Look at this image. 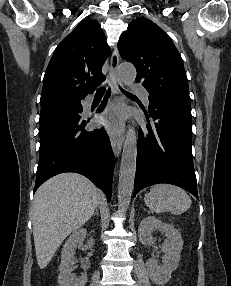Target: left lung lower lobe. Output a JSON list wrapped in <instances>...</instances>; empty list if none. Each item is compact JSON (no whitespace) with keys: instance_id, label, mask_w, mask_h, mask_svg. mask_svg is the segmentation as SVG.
I'll return each instance as SVG.
<instances>
[{"instance_id":"0a47b994","label":"left lung lower lobe","mask_w":231,"mask_h":286,"mask_svg":"<svg viewBox=\"0 0 231 286\" xmlns=\"http://www.w3.org/2000/svg\"><path fill=\"white\" fill-rule=\"evenodd\" d=\"M190 109L189 102L149 95V113L155 123L139 128L134 196L150 185L168 183L198 199Z\"/></svg>"}]
</instances>
